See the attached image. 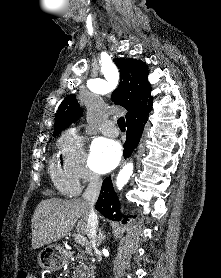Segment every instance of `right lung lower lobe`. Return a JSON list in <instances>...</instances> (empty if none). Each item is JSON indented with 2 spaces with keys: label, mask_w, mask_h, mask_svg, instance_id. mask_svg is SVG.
Instances as JSON below:
<instances>
[{
  "label": "right lung lower lobe",
  "mask_w": 221,
  "mask_h": 278,
  "mask_svg": "<svg viewBox=\"0 0 221 278\" xmlns=\"http://www.w3.org/2000/svg\"><path fill=\"white\" fill-rule=\"evenodd\" d=\"M147 122L145 119H137L127 123V141L124 144V157L127 158L137 147L144 126ZM95 208L105 217L121 221L123 217V223H126L128 216L123 215L120 212V205L117 195L114 193L113 185L111 184V178L108 177L103 181L99 198L96 202Z\"/></svg>",
  "instance_id": "1"
}]
</instances>
